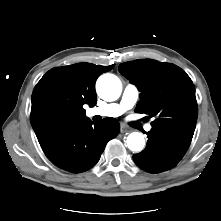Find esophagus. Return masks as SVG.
I'll return each mask as SVG.
<instances>
[{
    "label": "esophagus",
    "mask_w": 221,
    "mask_h": 221,
    "mask_svg": "<svg viewBox=\"0 0 221 221\" xmlns=\"http://www.w3.org/2000/svg\"><path fill=\"white\" fill-rule=\"evenodd\" d=\"M130 128L125 126V125H121V128H120V132L121 133H126V132H130Z\"/></svg>",
    "instance_id": "esophagus-1"
}]
</instances>
